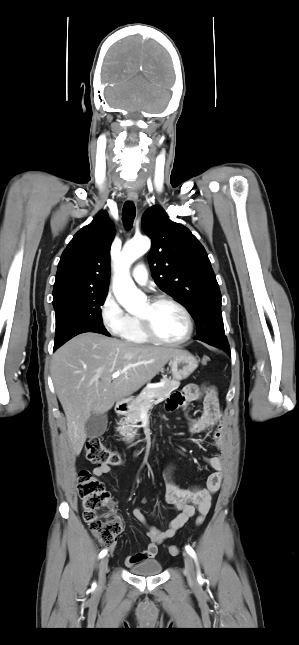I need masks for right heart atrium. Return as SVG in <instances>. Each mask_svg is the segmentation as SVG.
<instances>
[{"label":"right heart atrium","instance_id":"d8ad5b80","mask_svg":"<svg viewBox=\"0 0 299 645\" xmlns=\"http://www.w3.org/2000/svg\"><path fill=\"white\" fill-rule=\"evenodd\" d=\"M100 318L104 329L113 336H122L129 323V315L110 292L101 303Z\"/></svg>","mask_w":299,"mask_h":645}]
</instances>
